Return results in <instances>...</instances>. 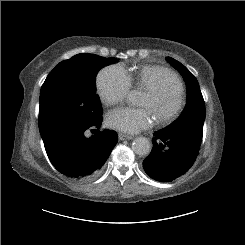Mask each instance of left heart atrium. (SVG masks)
<instances>
[{
	"instance_id": "1",
	"label": "left heart atrium",
	"mask_w": 245,
	"mask_h": 245,
	"mask_svg": "<svg viewBox=\"0 0 245 245\" xmlns=\"http://www.w3.org/2000/svg\"><path fill=\"white\" fill-rule=\"evenodd\" d=\"M106 124L111 129L134 134L150 128L153 119L151 111L147 108L120 107L109 112Z\"/></svg>"
}]
</instances>
